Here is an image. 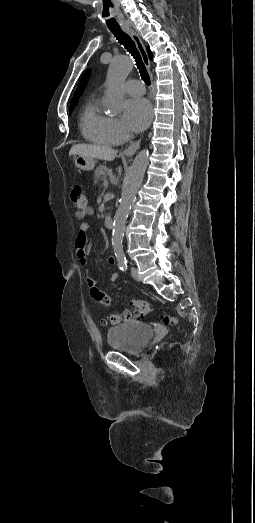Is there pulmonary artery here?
Here are the masks:
<instances>
[{"mask_svg": "<svg viewBox=\"0 0 255 523\" xmlns=\"http://www.w3.org/2000/svg\"><path fill=\"white\" fill-rule=\"evenodd\" d=\"M125 90L130 93V99L136 101L145 92V86L138 80H129L125 85Z\"/></svg>", "mask_w": 255, "mask_h": 523, "instance_id": "1", "label": "pulmonary artery"}]
</instances>
